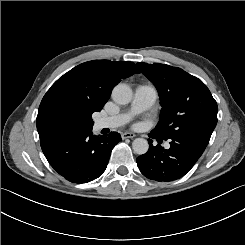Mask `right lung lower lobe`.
<instances>
[{"mask_svg": "<svg viewBox=\"0 0 245 245\" xmlns=\"http://www.w3.org/2000/svg\"><path fill=\"white\" fill-rule=\"evenodd\" d=\"M117 132L94 136L91 129L66 131L40 139L42 151L53 169L72 183H87L105 171Z\"/></svg>", "mask_w": 245, "mask_h": 245, "instance_id": "98d812e1", "label": "right lung lower lobe"}]
</instances>
